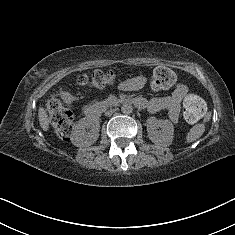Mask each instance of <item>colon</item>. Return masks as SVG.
I'll return each mask as SVG.
<instances>
[{
	"instance_id": "5ec220e1",
	"label": "colon",
	"mask_w": 235,
	"mask_h": 235,
	"mask_svg": "<svg viewBox=\"0 0 235 235\" xmlns=\"http://www.w3.org/2000/svg\"><path fill=\"white\" fill-rule=\"evenodd\" d=\"M116 74L112 71L95 70L91 74H82L78 83L86 88L103 89L114 83ZM176 82L175 73L167 67H157L151 75V87L154 91L170 88ZM47 110L57 136L68 140L71 136L74 118L71 111L65 108L58 98L52 97L47 102ZM205 112L204 101L194 94H189L183 102V115L188 122H196Z\"/></svg>"
}]
</instances>
